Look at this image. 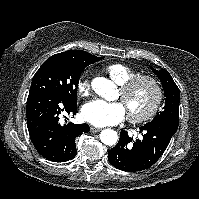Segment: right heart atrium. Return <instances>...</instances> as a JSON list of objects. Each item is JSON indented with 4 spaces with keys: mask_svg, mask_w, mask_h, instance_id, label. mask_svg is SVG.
<instances>
[{
    "mask_svg": "<svg viewBox=\"0 0 199 199\" xmlns=\"http://www.w3.org/2000/svg\"><path fill=\"white\" fill-rule=\"evenodd\" d=\"M77 92L81 97L88 96L91 90V84L88 78L82 77L77 82Z\"/></svg>",
    "mask_w": 199,
    "mask_h": 199,
    "instance_id": "obj_1",
    "label": "right heart atrium"
}]
</instances>
